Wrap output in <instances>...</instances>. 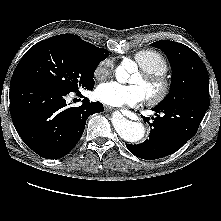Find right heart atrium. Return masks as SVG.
I'll list each match as a JSON object with an SVG mask.
<instances>
[{"label":"right heart atrium","mask_w":221,"mask_h":221,"mask_svg":"<svg viewBox=\"0 0 221 221\" xmlns=\"http://www.w3.org/2000/svg\"><path fill=\"white\" fill-rule=\"evenodd\" d=\"M113 61L110 58L102 60L94 71V76L98 80L109 77L113 72Z\"/></svg>","instance_id":"d8ad5b80"}]
</instances>
